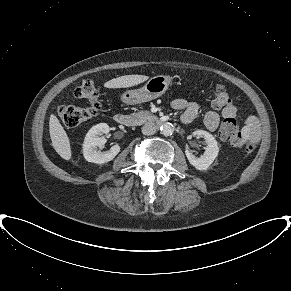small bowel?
<instances>
[{"label": "small bowel", "instance_id": "small-bowel-1", "mask_svg": "<svg viewBox=\"0 0 291 291\" xmlns=\"http://www.w3.org/2000/svg\"><path fill=\"white\" fill-rule=\"evenodd\" d=\"M172 107L175 110L182 111L181 121L184 124L191 123L198 115L199 106L195 102H189L185 99H175L172 102ZM237 108L233 104H229L222 109L221 112L208 111L204 116V124L206 128L210 131L217 130L220 121L227 117H235ZM245 126L247 128L248 137L251 142L258 141L260 137L259 124L253 117H248Z\"/></svg>", "mask_w": 291, "mask_h": 291}]
</instances>
